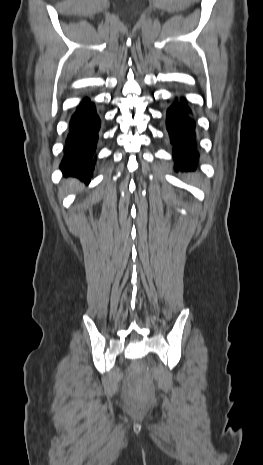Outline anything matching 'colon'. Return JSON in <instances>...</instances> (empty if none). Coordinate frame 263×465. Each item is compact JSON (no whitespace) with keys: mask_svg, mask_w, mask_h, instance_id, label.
Here are the masks:
<instances>
[{"mask_svg":"<svg viewBox=\"0 0 263 465\" xmlns=\"http://www.w3.org/2000/svg\"><path fill=\"white\" fill-rule=\"evenodd\" d=\"M132 384L134 387H139L140 386V380L139 378L135 377L133 380H132Z\"/></svg>","mask_w":263,"mask_h":465,"instance_id":"colon-1","label":"colon"}]
</instances>
